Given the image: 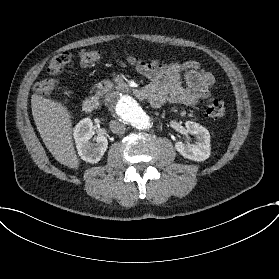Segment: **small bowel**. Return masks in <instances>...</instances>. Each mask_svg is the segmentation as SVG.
<instances>
[{
    "label": "small bowel",
    "mask_w": 279,
    "mask_h": 279,
    "mask_svg": "<svg viewBox=\"0 0 279 279\" xmlns=\"http://www.w3.org/2000/svg\"><path fill=\"white\" fill-rule=\"evenodd\" d=\"M128 61L140 74L150 79L142 95L156 108L165 103L194 105L209 97V89L215 83L214 76L195 60L166 64L159 60L144 61L130 56Z\"/></svg>",
    "instance_id": "1"
}]
</instances>
